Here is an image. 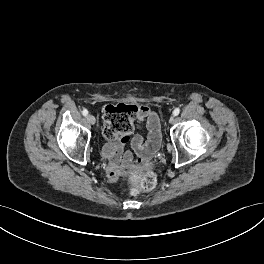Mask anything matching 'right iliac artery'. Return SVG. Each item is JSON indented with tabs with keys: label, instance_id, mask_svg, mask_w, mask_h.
<instances>
[{
	"label": "right iliac artery",
	"instance_id": "right-iliac-artery-1",
	"mask_svg": "<svg viewBox=\"0 0 264 264\" xmlns=\"http://www.w3.org/2000/svg\"><path fill=\"white\" fill-rule=\"evenodd\" d=\"M82 114H83L84 116H87V115H88V110H87V109H84V110L82 111Z\"/></svg>",
	"mask_w": 264,
	"mask_h": 264
}]
</instances>
